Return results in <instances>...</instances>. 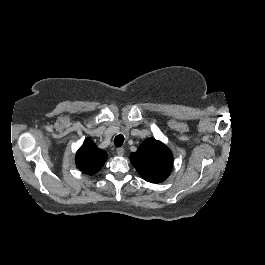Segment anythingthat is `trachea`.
<instances>
[{
    "label": "trachea",
    "instance_id": "obj_1",
    "mask_svg": "<svg viewBox=\"0 0 265 265\" xmlns=\"http://www.w3.org/2000/svg\"><path fill=\"white\" fill-rule=\"evenodd\" d=\"M124 142V136L122 134H119L114 139V145L116 147H121Z\"/></svg>",
    "mask_w": 265,
    "mask_h": 265
}]
</instances>
